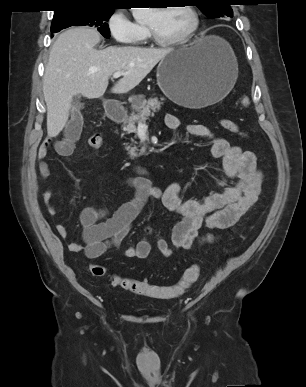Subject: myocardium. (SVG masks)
<instances>
[{
  "instance_id": "1",
  "label": "myocardium",
  "mask_w": 306,
  "mask_h": 387,
  "mask_svg": "<svg viewBox=\"0 0 306 387\" xmlns=\"http://www.w3.org/2000/svg\"><path fill=\"white\" fill-rule=\"evenodd\" d=\"M184 9L188 11V13L191 15L192 18V24L188 31L180 38L173 39V40H164L159 35L156 33V31L153 29L152 26L146 25L147 33L150 38V40L161 47H173V46H179L188 43L196 34V32L199 29L200 26V16L196 8L192 5L184 4L183 6ZM167 6L160 7L157 9H165Z\"/></svg>"
}]
</instances>
